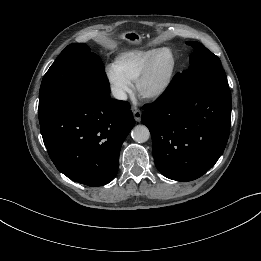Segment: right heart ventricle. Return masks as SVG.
Returning a JSON list of instances; mask_svg holds the SVG:
<instances>
[{
	"label": "right heart ventricle",
	"instance_id": "1",
	"mask_svg": "<svg viewBox=\"0 0 261 261\" xmlns=\"http://www.w3.org/2000/svg\"><path fill=\"white\" fill-rule=\"evenodd\" d=\"M157 49L131 50L120 53L113 65L130 83L135 82Z\"/></svg>",
	"mask_w": 261,
	"mask_h": 261
}]
</instances>
